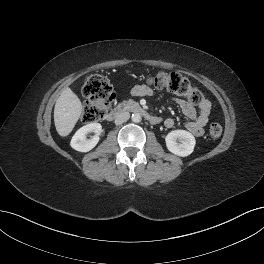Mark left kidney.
I'll return each instance as SVG.
<instances>
[{"label":"left kidney","mask_w":264,"mask_h":264,"mask_svg":"<svg viewBox=\"0 0 264 264\" xmlns=\"http://www.w3.org/2000/svg\"><path fill=\"white\" fill-rule=\"evenodd\" d=\"M179 140V143L177 142ZM167 149L181 157H186L190 155L195 147V138L194 136L185 130H174L168 133L165 138Z\"/></svg>","instance_id":"obj_1"}]
</instances>
